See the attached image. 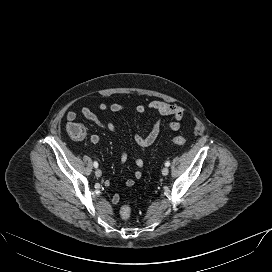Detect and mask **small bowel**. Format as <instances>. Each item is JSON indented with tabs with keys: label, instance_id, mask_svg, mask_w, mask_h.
I'll use <instances>...</instances> for the list:
<instances>
[{
	"label": "small bowel",
	"instance_id": "c3829d8e",
	"mask_svg": "<svg viewBox=\"0 0 272 272\" xmlns=\"http://www.w3.org/2000/svg\"><path fill=\"white\" fill-rule=\"evenodd\" d=\"M99 110L102 112H112V113H120L124 112L127 108L123 104L120 103H100L98 105ZM147 109L158 114V118L153 123L151 130L146 136L135 135L134 142L136 146L141 150L145 151L149 146H151L158 138L160 131L163 127L168 128L172 131H178L181 127L180 120L185 116V109L179 105L167 103L160 100H153L147 106L139 104L135 106V111L138 114L144 113ZM81 115L87 120L93 122L96 126L107 129L111 132L116 131V126L111 119H100L91 109L88 107H82L80 109ZM172 117L175 121L165 123L163 118ZM77 118V113L74 111H69L66 114V119L69 122L75 121ZM90 141L93 144H98L100 141V137L97 134H93L90 136ZM128 160V154L126 151H123L120 156V165H124ZM135 165L137 169L134 172V177L139 179L142 177V168L144 166V161L142 158L138 157L135 159ZM135 184V180L133 178H128L125 181V185L127 187H132ZM120 200V196L118 194H114L112 197V203L117 204Z\"/></svg>",
	"mask_w": 272,
	"mask_h": 272
}]
</instances>
